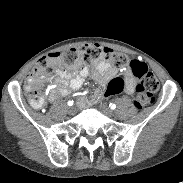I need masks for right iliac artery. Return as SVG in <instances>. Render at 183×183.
I'll use <instances>...</instances> for the list:
<instances>
[{
  "label": "right iliac artery",
  "mask_w": 183,
  "mask_h": 183,
  "mask_svg": "<svg viewBox=\"0 0 183 183\" xmlns=\"http://www.w3.org/2000/svg\"><path fill=\"white\" fill-rule=\"evenodd\" d=\"M68 105H69V106H72V105H73V101H71V100L68 101Z\"/></svg>",
  "instance_id": "82829eb1"
}]
</instances>
